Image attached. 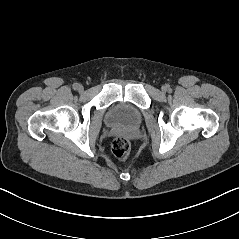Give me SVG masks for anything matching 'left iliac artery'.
Masks as SVG:
<instances>
[{
	"mask_svg": "<svg viewBox=\"0 0 239 239\" xmlns=\"http://www.w3.org/2000/svg\"><path fill=\"white\" fill-rule=\"evenodd\" d=\"M168 91H171L170 87H168Z\"/></svg>",
	"mask_w": 239,
	"mask_h": 239,
	"instance_id": "1",
	"label": "left iliac artery"
}]
</instances>
